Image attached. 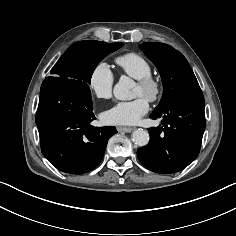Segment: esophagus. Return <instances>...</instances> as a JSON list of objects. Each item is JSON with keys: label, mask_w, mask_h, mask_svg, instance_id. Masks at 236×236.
I'll list each match as a JSON object with an SVG mask.
<instances>
[{"label": "esophagus", "mask_w": 236, "mask_h": 236, "mask_svg": "<svg viewBox=\"0 0 236 236\" xmlns=\"http://www.w3.org/2000/svg\"><path fill=\"white\" fill-rule=\"evenodd\" d=\"M133 130L131 127H117L118 132L130 133Z\"/></svg>", "instance_id": "34e87169"}]
</instances>
